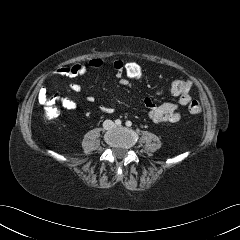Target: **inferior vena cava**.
I'll list each match as a JSON object with an SVG mask.
<instances>
[{
	"mask_svg": "<svg viewBox=\"0 0 240 240\" xmlns=\"http://www.w3.org/2000/svg\"><path fill=\"white\" fill-rule=\"evenodd\" d=\"M113 125H114L113 122L110 121V120L105 121L104 124H103L105 129H110V128L113 127Z\"/></svg>",
	"mask_w": 240,
	"mask_h": 240,
	"instance_id": "602c4592",
	"label": "inferior vena cava"
}]
</instances>
